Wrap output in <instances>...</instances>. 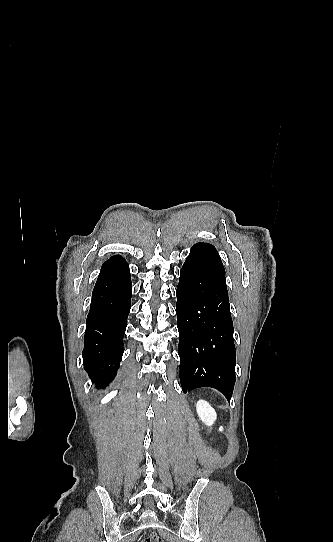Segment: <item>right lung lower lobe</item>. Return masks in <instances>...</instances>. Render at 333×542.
I'll list each match as a JSON object with an SVG mask.
<instances>
[{"label":"right lung lower lobe","instance_id":"98d812e1","mask_svg":"<svg viewBox=\"0 0 333 542\" xmlns=\"http://www.w3.org/2000/svg\"><path fill=\"white\" fill-rule=\"evenodd\" d=\"M131 294L129 265L120 255L111 257L102 265L93 289L82 352L84 369L99 388L117 374Z\"/></svg>","mask_w":333,"mask_h":542}]
</instances>
